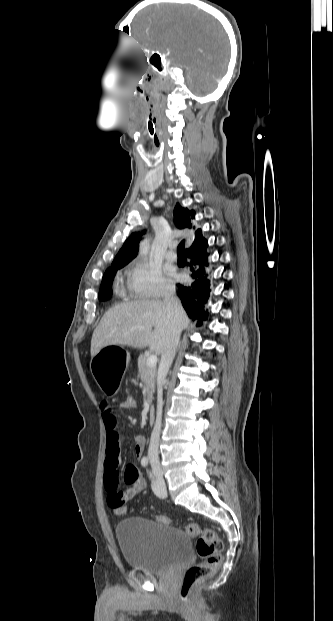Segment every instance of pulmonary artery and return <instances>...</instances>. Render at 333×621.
I'll return each mask as SVG.
<instances>
[{
  "instance_id": "obj_1",
  "label": "pulmonary artery",
  "mask_w": 333,
  "mask_h": 621,
  "mask_svg": "<svg viewBox=\"0 0 333 621\" xmlns=\"http://www.w3.org/2000/svg\"><path fill=\"white\" fill-rule=\"evenodd\" d=\"M173 249H174V245H171L168 251L165 253V257L169 261H175L177 259V255Z\"/></svg>"
}]
</instances>
